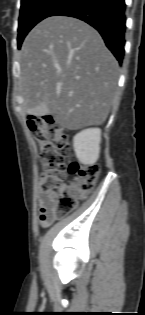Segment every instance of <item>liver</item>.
I'll use <instances>...</instances> for the list:
<instances>
[{"label": "liver", "mask_w": 145, "mask_h": 315, "mask_svg": "<svg viewBox=\"0 0 145 315\" xmlns=\"http://www.w3.org/2000/svg\"><path fill=\"white\" fill-rule=\"evenodd\" d=\"M20 92L28 114L64 128L101 125L116 95L119 65L100 34L72 17H48L22 45Z\"/></svg>", "instance_id": "6515ba94"}]
</instances>
